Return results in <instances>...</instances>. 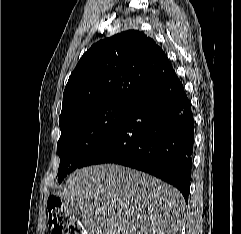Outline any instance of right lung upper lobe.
<instances>
[{
	"label": "right lung upper lobe",
	"mask_w": 241,
	"mask_h": 234,
	"mask_svg": "<svg viewBox=\"0 0 241 234\" xmlns=\"http://www.w3.org/2000/svg\"><path fill=\"white\" fill-rule=\"evenodd\" d=\"M172 71L163 50L138 30L101 40L83 54L70 75L59 122L76 110L96 104H133Z\"/></svg>",
	"instance_id": "obj_1"
}]
</instances>
